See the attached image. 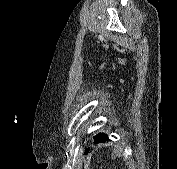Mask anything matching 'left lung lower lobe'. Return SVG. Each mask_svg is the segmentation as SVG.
Segmentation results:
<instances>
[{
  "label": "left lung lower lobe",
  "instance_id": "left-lung-lower-lobe-1",
  "mask_svg": "<svg viewBox=\"0 0 177 169\" xmlns=\"http://www.w3.org/2000/svg\"><path fill=\"white\" fill-rule=\"evenodd\" d=\"M108 140H109L108 136L106 134H104V135H100L94 141H95L96 144H98V143H104V142H106Z\"/></svg>",
  "mask_w": 177,
  "mask_h": 169
}]
</instances>
